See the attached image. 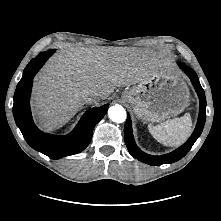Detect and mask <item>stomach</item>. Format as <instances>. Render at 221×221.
Masks as SVG:
<instances>
[{
  "mask_svg": "<svg viewBox=\"0 0 221 221\" xmlns=\"http://www.w3.org/2000/svg\"><path fill=\"white\" fill-rule=\"evenodd\" d=\"M122 99L143 122H159L177 116L189 102L184 80L175 72L163 69L122 93Z\"/></svg>",
  "mask_w": 221,
  "mask_h": 221,
  "instance_id": "obj_1",
  "label": "stomach"
}]
</instances>
